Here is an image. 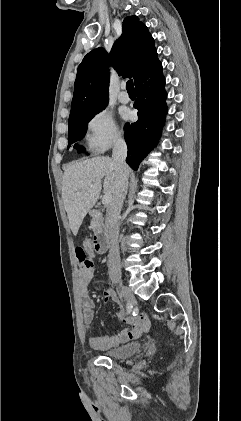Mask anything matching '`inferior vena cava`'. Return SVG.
Returning a JSON list of instances; mask_svg holds the SVG:
<instances>
[{
  "instance_id": "602c4592",
  "label": "inferior vena cava",
  "mask_w": 241,
  "mask_h": 421,
  "mask_svg": "<svg viewBox=\"0 0 241 421\" xmlns=\"http://www.w3.org/2000/svg\"><path fill=\"white\" fill-rule=\"evenodd\" d=\"M127 156V145L124 139L119 138L113 147L112 160L115 165L118 180L110 205L106 213V229L110 241L108 254V272L110 277H121L120 254L118 245L119 235V215L123 206V201L128 190L129 168L125 162Z\"/></svg>"
}]
</instances>
